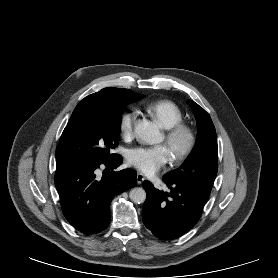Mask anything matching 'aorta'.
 <instances>
[{
	"label": "aorta",
	"instance_id": "aorta-1",
	"mask_svg": "<svg viewBox=\"0 0 278 278\" xmlns=\"http://www.w3.org/2000/svg\"><path fill=\"white\" fill-rule=\"evenodd\" d=\"M135 133L141 141L147 144H156L161 139L157 125L148 120L139 121L135 126ZM129 197L136 204L144 203L146 191L140 187L133 188L129 193Z\"/></svg>",
	"mask_w": 278,
	"mask_h": 278
}]
</instances>
